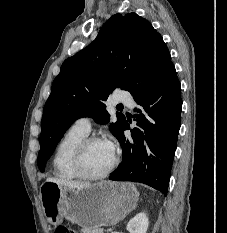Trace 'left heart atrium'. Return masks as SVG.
I'll use <instances>...</instances> for the list:
<instances>
[{"instance_id": "obj_1", "label": "left heart atrium", "mask_w": 227, "mask_h": 233, "mask_svg": "<svg viewBox=\"0 0 227 233\" xmlns=\"http://www.w3.org/2000/svg\"><path fill=\"white\" fill-rule=\"evenodd\" d=\"M105 144H107V146L113 151L114 150V146H113V143L110 139H106L105 141Z\"/></svg>"}]
</instances>
